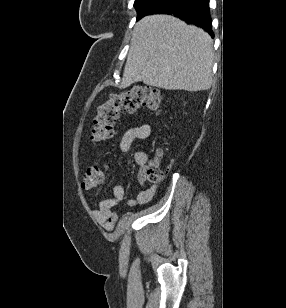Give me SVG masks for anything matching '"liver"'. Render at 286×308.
<instances>
[{
  "instance_id": "6515ba94",
  "label": "liver",
  "mask_w": 286,
  "mask_h": 308,
  "mask_svg": "<svg viewBox=\"0 0 286 308\" xmlns=\"http://www.w3.org/2000/svg\"><path fill=\"white\" fill-rule=\"evenodd\" d=\"M212 66L208 33L170 15H150L134 27L121 87L143 82L166 90H207Z\"/></svg>"
}]
</instances>
